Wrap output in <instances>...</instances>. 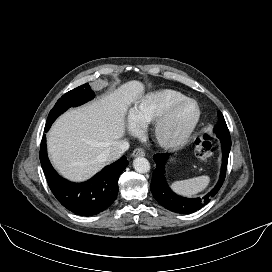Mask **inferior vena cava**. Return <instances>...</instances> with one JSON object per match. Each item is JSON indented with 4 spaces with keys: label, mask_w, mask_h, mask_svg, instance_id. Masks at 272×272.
<instances>
[{
    "label": "inferior vena cava",
    "mask_w": 272,
    "mask_h": 272,
    "mask_svg": "<svg viewBox=\"0 0 272 272\" xmlns=\"http://www.w3.org/2000/svg\"><path fill=\"white\" fill-rule=\"evenodd\" d=\"M129 142L126 140L115 141L113 145L108 147L101 155L106 162H111L119 159L121 155L128 150Z\"/></svg>",
    "instance_id": "inferior-vena-cava-1"
}]
</instances>
